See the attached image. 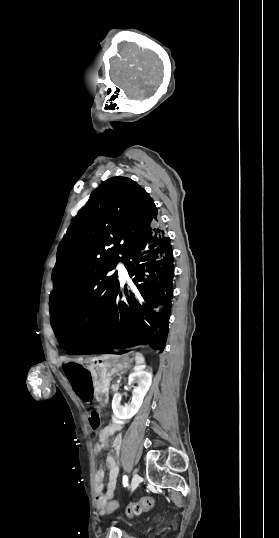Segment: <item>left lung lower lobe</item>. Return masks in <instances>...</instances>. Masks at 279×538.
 I'll return each mask as SVG.
<instances>
[{"instance_id":"obj_1","label":"left lung lower lobe","mask_w":279,"mask_h":538,"mask_svg":"<svg viewBox=\"0 0 279 538\" xmlns=\"http://www.w3.org/2000/svg\"><path fill=\"white\" fill-rule=\"evenodd\" d=\"M125 266L135 287L121 301L120 287L100 325L89 336L63 332L57 336L70 354L107 353L112 349L149 345L163 352L173 298V253L170 239L156 224L132 247Z\"/></svg>"}]
</instances>
